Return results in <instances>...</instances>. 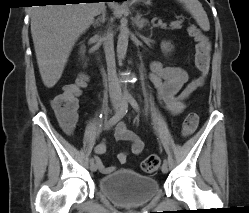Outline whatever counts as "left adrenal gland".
I'll use <instances>...</instances> for the list:
<instances>
[{"instance_id":"obj_1","label":"left adrenal gland","mask_w":249,"mask_h":213,"mask_svg":"<svg viewBox=\"0 0 249 213\" xmlns=\"http://www.w3.org/2000/svg\"><path fill=\"white\" fill-rule=\"evenodd\" d=\"M135 24L138 27V29H142L145 25L148 24V20L142 18L141 15L138 13L136 15Z\"/></svg>"}]
</instances>
